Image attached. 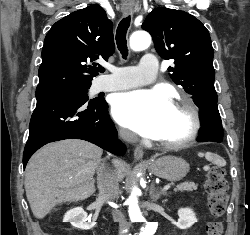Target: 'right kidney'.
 <instances>
[{
    "mask_svg": "<svg viewBox=\"0 0 250 235\" xmlns=\"http://www.w3.org/2000/svg\"><path fill=\"white\" fill-rule=\"evenodd\" d=\"M63 222H70V224L81 230H89L94 226V223L87 222V213L82 207H76L64 215Z\"/></svg>",
    "mask_w": 250,
    "mask_h": 235,
    "instance_id": "1",
    "label": "right kidney"
}]
</instances>
